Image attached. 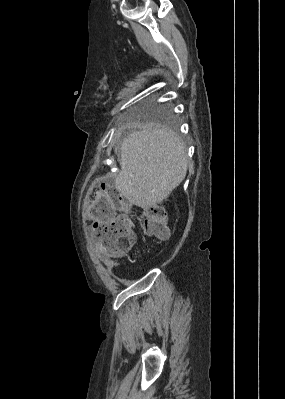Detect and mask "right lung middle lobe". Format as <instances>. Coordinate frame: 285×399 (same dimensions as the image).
<instances>
[{"instance_id":"right-lung-middle-lobe-1","label":"right lung middle lobe","mask_w":285,"mask_h":399,"mask_svg":"<svg viewBox=\"0 0 285 399\" xmlns=\"http://www.w3.org/2000/svg\"><path fill=\"white\" fill-rule=\"evenodd\" d=\"M150 120L166 123V119L163 118V113L161 111H155L152 115H150Z\"/></svg>"}]
</instances>
